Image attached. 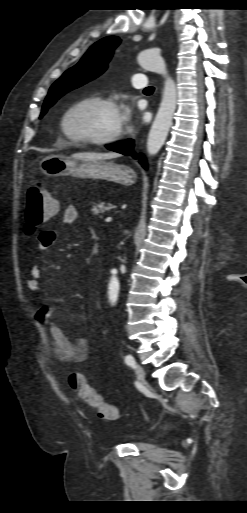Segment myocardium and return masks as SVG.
I'll use <instances>...</instances> for the list:
<instances>
[{"mask_svg": "<svg viewBox=\"0 0 247 513\" xmlns=\"http://www.w3.org/2000/svg\"><path fill=\"white\" fill-rule=\"evenodd\" d=\"M85 104H102L106 106H110L113 108H117L116 101L107 96L103 95H89L86 97H83L79 100H76L69 105L65 107V109L62 111L60 118H59V128L62 132V134L69 140L73 142L78 143H84V144H91V145H107L110 143H113L121 138L123 135V127L120 125L117 130H115L113 133L108 134L106 136L102 137H89V136H83V135H76L69 131L67 127V122L70 114L79 106L85 105Z\"/></svg>", "mask_w": 247, "mask_h": 513, "instance_id": "f54148a6", "label": "myocardium"}]
</instances>
